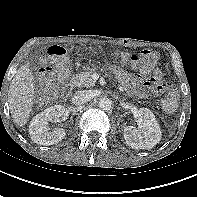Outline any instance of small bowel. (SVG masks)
<instances>
[{"mask_svg": "<svg viewBox=\"0 0 197 197\" xmlns=\"http://www.w3.org/2000/svg\"><path fill=\"white\" fill-rule=\"evenodd\" d=\"M122 85L132 94L147 98L156 96L165 88L162 82L161 72L158 68L154 69L150 77L143 73H127L121 69L115 70Z\"/></svg>", "mask_w": 197, "mask_h": 197, "instance_id": "c3829d8e", "label": "small bowel"}]
</instances>
